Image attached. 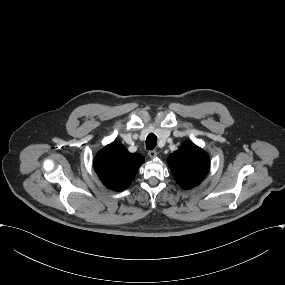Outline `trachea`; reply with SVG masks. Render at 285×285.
<instances>
[{
  "label": "trachea",
  "mask_w": 285,
  "mask_h": 285,
  "mask_svg": "<svg viewBox=\"0 0 285 285\" xmlns=\"http://www.w3.org/2000/svg\"><path fill=\"white\" fill-rule=\"evenodd\" d=\"M157 144V136L153 133L149 134L146 138V148L151 150L155 148Z\"/></svg>",
  "instance_id": "1"
}]
</instances>
